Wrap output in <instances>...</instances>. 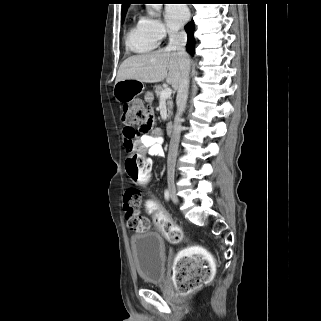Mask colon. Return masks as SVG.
Instances as JSON below:
<instances>
[{
  "mask_svg": "<svg viewBox=\"0 0 321 321\" xmlns=\"http://www.w3.org/2000/svg\"><path fill=\"white\" fill-rule=\"evenodd\" d=\"M122 121L129 134L138 137L150 130L152 113L139 100H131L123 105ZM126 171L135 182H145L150 175L151 161L138 153L131 152L125 160ZM159 197L151 196L144 207L152 221L171 243L184 241L182 229L158 205ZM141 193L136 188H128L124 195V209L127 226L135 232H145L150 222L140 214ZM214 269L210 255L202 248L188 247L175 260L172 270L173 279L181 293L192 292L209 282Z\"/></svg>",
  "mask_w": 321,
  "mask_h": 321,
  "instance_id": "1",
  "label": "colon"
}]
</instances>
